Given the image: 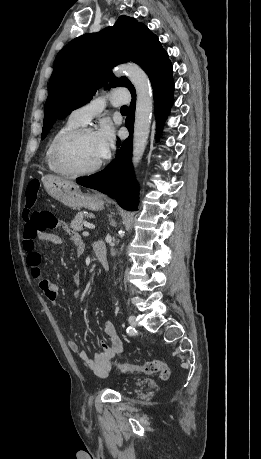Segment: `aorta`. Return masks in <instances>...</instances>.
I'll use <instances>...</instances> for the list:
<instances>
[{
  "label": "aorta",
  "mask_w": 261,
  "mask_h": 459,
  "mask_svg": "<svg viewBox=\"0 0 261 459\" xmlns=\"http://www.w3.org/2000/svg\"><path fill=\"white\" fill-rule=\"evenodd\" d=\"M114 74H125L136 90V110L133 133L132 162L140 163L146 149L153 112L151 84L146 73L135 64H123L115 68ZM121 232V231H119Z\"/></svg>",
  "instance_id": "obj_1"
}]
</instances>
